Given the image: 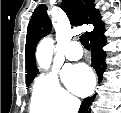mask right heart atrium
<instances>
[{
	"instance_id": "d8ad5b80",
	"label": "right heart atrium",
	"mask_w": 121,
	"mask_h": 113,
	"mask_svg": "<svg viewBox=\"0 0 121 113\" xmlns=\"http://www.w3.org/2000/svg\"><path fill=\"white\" fill-rule=\"evenodd\" d=\"M34 95L48 113H71L78 109V100L61 86L54 72L43 73L37 78Z\"/></svg>"
}]
</instances>
